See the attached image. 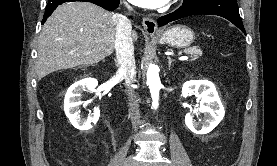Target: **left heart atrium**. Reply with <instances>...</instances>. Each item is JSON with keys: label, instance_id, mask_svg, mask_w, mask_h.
<instances>
[{"label": "left heart atrium", "instance_id": "39dd6f15", "mask_svg": "<svg viewBox=\"0 0 277 166\" xmlns=\"http://www.w3.org/2000/svg\"><path fill=\"white\" fill-rule=\"evenodd\" d=\"M129 1L139 7L155 9L166 5L167 3H169L170 0H129Z\"/></svg>", "mask_w": 277, "mask_h": 166}]
</instances>
